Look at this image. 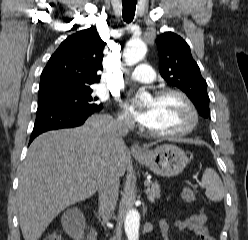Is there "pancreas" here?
<instances>
[{"instance_id": "cf45deb5", "label": "pancreas", "mask_w": 248, "mask_h": 240, "mask_svg": "<svg viewBox=\"0 0 248 240\" xmlns=\"http://www.w3.org/2000/svg\"><path fill=\"white\" fill-rule=\"evenodd\" d=\"M147 189H146V193L148 195V199L151 202H154L155 199H159L160 198V186L158 183H150L149 185H146Z\"/></svg>"}]
</instances>
